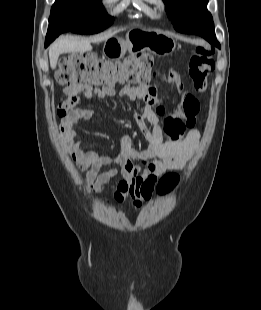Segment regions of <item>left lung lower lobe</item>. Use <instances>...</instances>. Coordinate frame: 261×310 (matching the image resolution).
Returning <instances> with one entry per match:
<instances>
[{
	"instance_id": "obj_1",
	"label": "left lung lower lobe",
	"mask_w": 261,
	"mask_h": 310,
	"mask_svg": "<svg viewBox=\"0 0 261 310\" xmlns=\"http://www.w3.org/2000/svg\"><path fill=\"white\" fill-rule=\"evenodd\" d=\"M193 34L202 36L211 44H213L217 47H220V44L218 43L216 36H215L213 22H202V23H200V25L194 30Z\"/></svg>"
}]
</instances>
